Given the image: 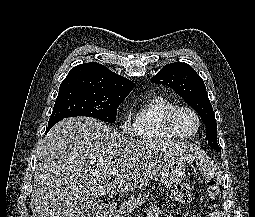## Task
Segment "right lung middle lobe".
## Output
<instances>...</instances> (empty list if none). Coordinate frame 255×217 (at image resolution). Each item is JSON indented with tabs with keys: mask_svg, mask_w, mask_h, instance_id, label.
<instances>
[{
	"mask_svg": "<svg viewBox=\"0 0 255 217\" xmlns=\"http://www.w3.org/2000/svg\"><path fill=\"white\" fill-rule=\"evenodd\" d=\"M128 94L79 88L59 90L49 123L75 116L93 117L104 122L114 123L117 108Z\"/></svg>",
	"mask_w": 255,
	"mask_h": 217,
	"instance_id": "obj_1",
	"label": "right lung middle lobe"
}]
</instances>
